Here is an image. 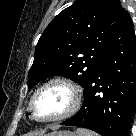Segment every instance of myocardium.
Returning <instances> with one entry per match:
<instances>
[{"instance_id": "1", "label": "myocardium", "mask_w": 136, "mask_h": 136, "mask_svg": "<svg viewBox=\"0 0 136 136\" xmlns=\"http://www.w3.org/2000/svg\"><path fill=\"white\" fill-rule=\"evenodd\" d=\"M52 85H60L62 87H64L70 94V103L69 106L67 107V109L62 112L61 114L55 116V117H51V118H46V119H41L38 118L33 110V106H34V102L36 97L46 88L52 86ZM81 105V92L79 87L72 82L71 80L67 79V78H63V77H55V78H51L49 80H47L46 82H44L41 86H39L35 92L33 93L30 101H29V105H28V110L30 112L31 118L33 120H35L36 122H40V123H54V122H59V121H63L65 119H68L69 117H71L72 115H74L77 110L79 109Z\"/></svg>"}]
</instances>
